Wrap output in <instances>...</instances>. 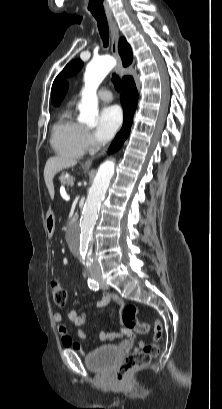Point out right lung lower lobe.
Returning a JSON list of instances; mask_svg holds the SVG:
<instances>
[{
	"label": "right lung lower lobe",
	"mask_w": 222,
	"mask_h": 409,
	"mask_svg": "<svg viewBox=\"0 0 222 409\" xmlns=\"http://www.w3.org/2000/svg\"><path fill=\"white\" fill-rule=\"evenodd\" d=\"M123 82L124 89L121 95V104L124 110V122L122 129L115 137V140L109 149L110 152L117 151L128 137L138 102V92L133 78L128 76Z\"/></svg>",
	"instance_id": "obj_1"
}]
</instances>
